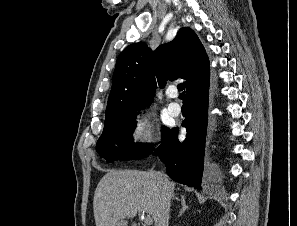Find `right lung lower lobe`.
Masks as SVG:
<instances>
[{
  "instance_id": "1",
  "label": "right lung lower lobe",
  "mask_w": 297,
  "mask_h": 226,
  "mask_svg": "<svg viewBox=\"0 0 297 226\" xmlns=\"http://www.w3.org/2000/svg\"><path fill=\"white\" fill-rule=\"evenodd\" d=\"M209 86L188 98V116L182 126L187 135L184 142L178 140V128L169 130L163 142L153 152L165 163L167 174L181 184L202 189L204 151L207 131Z\"/></svg>"
}]
</instances>
